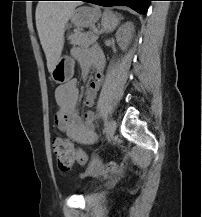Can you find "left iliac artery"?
<instances>
[{
    "label": "left iliac artery",
    "instance_id": "44dca946",
    "mask_svg": "<svg viewBox=\"0 0 202 217\" xmlns=\"http://www.w3.org/2000/svg\"><path fill=\"white\" fill-rule=\"evenodd\" d=\"M102 131L105 133V124L102 126Z\"/></svg>",
    "mask_w": 202,
    "mask_h": 217
}]
</instances>
